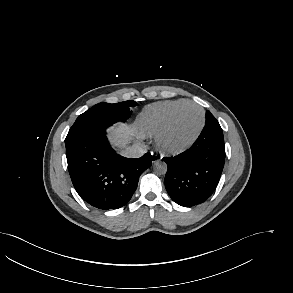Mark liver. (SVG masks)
<instances>
[{"label":"liver","instance_id":"6515ba94","mask_svg":"<svg viewBox=\"0 0 293 293\" xmlns=\"http://www.w3.org/2000/svg\"><path fill=\"white\" fill-rule=\"evenodd\" d=\"M110 140L116 147L122 148L127 142L137 134V129L133 126L122 124L115 125L109 129Z\"/></svg>","mask_w":293,"mask_h":293}]
</instances>
